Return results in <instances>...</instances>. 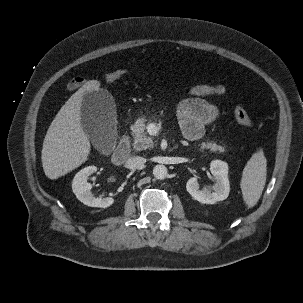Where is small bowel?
Masks as SVG:
<instances>
[{
  "instance_id": "small-bowel-1",
  "label": "small bowel",
  "mask_w": 303,
  "mask_h": 303,
  "mask_svg": "<svg viewBox=\"0 0 303 303\" xmlns=\"http://www.w3.org/2000/svg\"><path fill=\"white\" fill-rule=\"evenodd\" d=\"M85 82L82 77H74L68 82L67 89L76 90ZM225 91L223 85H198L190 89L189 95L177 107V117L185 139H201L206 127L219 120L221 114L219 108L207 102L205 98L222 96Z\"/></svg>"
}]
</instances>
